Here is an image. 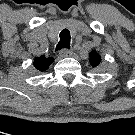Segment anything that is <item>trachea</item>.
I'll list each match as a JSON object with an SVG mask.
<instances>
[{"mask_svg":"<svg viewBox=\"0 0 135 135\" xmlns=\"http://www.w3.org/2000/svg\"><path fill=\"white\" fill-rule=\"evenodd\" d=\"M60 41L56 46V51L61 49H69L70 48V32L68 29H63L60 32Z\"/></svg>","mask_w":135,"mask_h":135,"instance_id":"3493384b","label":"trachea"}]
</instances>
